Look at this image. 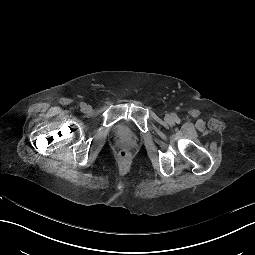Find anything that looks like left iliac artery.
<instances>
[{"instance_id":"1","label":"left iliac artery","mask_w":255,"mask_h":255,"mask_svg":"<svg viewBox=\"0 0 255 255\" xmlns=\"http://www.w3.org/2000/svg\"><path fill=\"white\" fill-rule=\"evenodd\" d=\"M176 123H180V119L178 117L175 118Z\"/></svg>"}]
</instances>
